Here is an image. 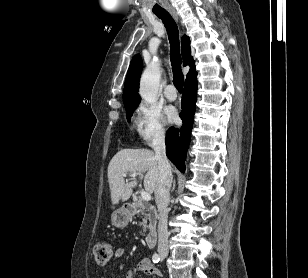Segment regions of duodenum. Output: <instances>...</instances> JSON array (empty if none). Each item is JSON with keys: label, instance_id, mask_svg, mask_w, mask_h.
Here are the masks:
<instances>
[{"label": "duodenum", "instance_id": "obj_1", "mask_svg": "<svg viewBox=\"0 0 308 278\" xmlns=\"http://www.w3.org/2000/svg\"><path fill=\"white\" fill-rule=\"evenodd\" d=\"M125 210L128 213H132L135 210V206L133 204H127L125 206ZM157 238H158V235H157L156 231L149 232L147 237H146L147 245L149 247H154L156 245V243H157Z\"/></svg>", "mask_w": 308, "mask_h": 278}]
</instances>
